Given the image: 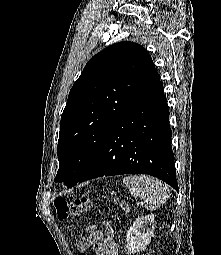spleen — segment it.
<instances>
[{"label":"spleen","mask_w":221,"mask_h":255,"mask_svg":"<svg viewBox=\"0 0 221 255\" xmlns=\"http://www.w3.org/2000/svg\"><path fill=\"white\" fill-rule=\"evenodd\" d=\"M129 192L145 202L148 210H155L166 203L170 190L163 182L146 175L128 176L123 179Z\"/></svg>","instance_id":"3e777b00"}]
</instances>
